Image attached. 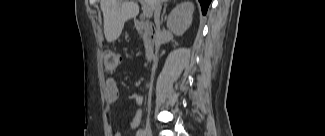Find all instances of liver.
I'll return each mask as SVG.
<instances>
[{
    "mask_svg": "<svg viewBox=\"0 0 325 136\" xmlns=\"http://www.w3.org/2000/svg\"><path fill=\"white\" fill-rule=\"evenodd\" d=\"M157 1L143 0L151 11L154 10ZM100 6L104 17V34L109 43L117 40L121 35L124 23L135 18L139 13V6L134 0H101Z\"/></svg>",
    "mask_w": 325,
    "mask_h": 136,
    "instance_id": "liver-1",
    "label": "liver"
}]
</instances>
